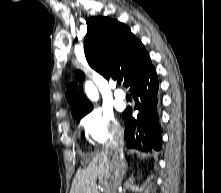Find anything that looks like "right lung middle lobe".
Here are the masks:
<instances>
[{"label": "right lung middle lobe", "instance_id": "obj_1", "mask_svg": "<svg viewBox=\"0 0 221 193\" xmlns=\"http://www.w3.org/2000/svg\"><path fill=\"white\" fill-rule=\"evenodd\" d=\"M81 116H77L76 118H80Z\"/></svg>", "mask_w": 221, "mask_h": 193}]
</instances>
